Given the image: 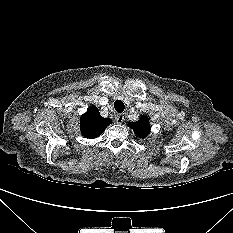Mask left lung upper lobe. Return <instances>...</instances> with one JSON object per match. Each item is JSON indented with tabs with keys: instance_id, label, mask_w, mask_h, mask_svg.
Listing matches in <instances>:
<instances>
[{
	"instance_id": "5c2ea615",
	"label": "left lung upper lobe",
	"mask_w": 233,
	"mask_h": 233,
	"mask_svg": "<svg viewBox=\"0 0 233 233\" xmlns=\"http://www.w3.org/2000/svg\"><path fill=\"white\" fill-rule=\"evenodd\" d=\"M129 126L139 138L144 139L150 133V125L147 116H141L138 121L130 123Z\"/></svg>"
}]
</instances>
